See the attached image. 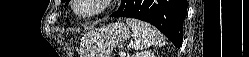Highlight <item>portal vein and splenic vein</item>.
Returning <instances> with one entry per match:
<instances>
[{
    "mask_svg": "<svg viewBox=\"0 0 249 57\" xmlns=\"http://www.w3.org/2000/svg\"><path fill=\"white\" fill-rule=\"evenodd\" d=\"M119 55H120V57H125L126 56V54L124 52H120Z\"/></svg>",
    "mask_w": 249,
    "mask_h": 57,
    "instance_id": "1",
    "label": "portal vein and splenic vein"
}]
</instances>
